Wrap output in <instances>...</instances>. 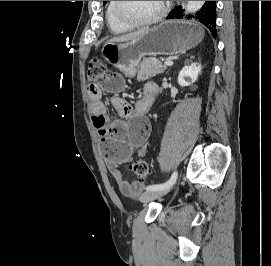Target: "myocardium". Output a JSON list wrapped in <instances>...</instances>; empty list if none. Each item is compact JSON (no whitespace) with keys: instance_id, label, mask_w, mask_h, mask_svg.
<instances>
[{"instance_id":"myocardium-1","label":"myocardium","mask_w":271,"mask_h":266,"mask_svg":"<svg viewBox=\"0 0 271 266\" xmlns=\"http://www.w3.org/2000/svg\"><path fill=\"white\" fill-rule=\"evenodd\" d=\"M114 10L116 17L125 25L129 27H141L152 25L159 22L166 14L167 5L165 1H161V7L159 11L152 17L144 20L133 19L126 15L123 11V1H115Z\"/></svg>"}]
</instances>
